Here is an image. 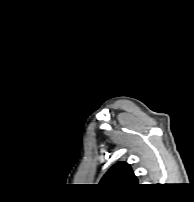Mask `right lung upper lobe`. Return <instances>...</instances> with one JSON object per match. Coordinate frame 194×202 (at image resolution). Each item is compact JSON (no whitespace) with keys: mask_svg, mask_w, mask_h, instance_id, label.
<instances>
[{"mask_svg":"<svg viewBox=\"0 0 194 202\" xmlns=\"http://www.w3.org/2000/svg\"><path fill=\"white\" fill-rule=\"evenodd\" d=\"M100 184L112 187H127L137 185L138 180L131 167L125 162H120L104 175Z\"/></svg>","mask_w":194,"mask_h":202,"instance_id":"obj_1","label":"right lung upper lobe"}]
</instances>
